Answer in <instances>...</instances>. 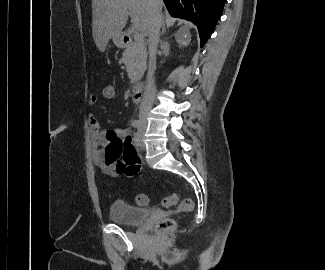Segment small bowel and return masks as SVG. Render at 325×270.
<instances>
[{
    "instance_id": "c3829d8e",
    "label": "small bowel",
    "mask_w": 325,
    "mask_h": 270,
    "mask_svg": "<svg viewBox=\"0 0 325 270\" xmlns=\"http://www.w3.org/2000/svg\"><path fill=\"white\" fill-rule=\"evenodd\" d=\"M97 102L96 95L89 96V105H95ZM88 127L94 164L105 175L131 176L140 170L138 155L131 142L130 130L121 127L102 130L94 115L88 117ZM122 154L123 160H120Z\"/></svg>"
}]
</instances>
